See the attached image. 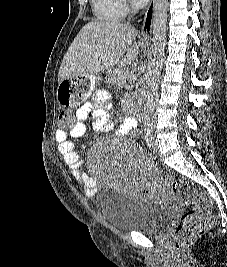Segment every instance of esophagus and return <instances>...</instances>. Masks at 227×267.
Here are the masks:
<instances>
[{"instance_id":"1","label":"esophagus","mask_w":227,"mask_h":267,"mask_svg":"<svg viewBox=\"0 0 227 267\" xmlns=\"http://www.w3.org/2000/svg\"><path fill=\"white\" fill-rule=\"evenodd\" d=\"M155 4L156 0H150V3L145 11L142 25V35L145 37H149L152 32Z\"/></svg>"}]
</instances>
